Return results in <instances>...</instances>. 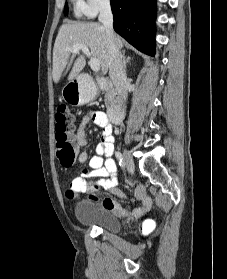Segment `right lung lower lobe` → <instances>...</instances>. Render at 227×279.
<instances>
[{
  "label": "right lung lower lobe",
  "instance_id": "obj_1",
  "mask_svg": "<svg viewBox=\"0 0 227 279\" xmlns=\"http://www.w3.org/2000/svg\"><path fill=\"white\" fill-rule=\"evenodd\" d=\"M155 0H111L114 30L143 53L155 54Z\"/></svg>",
  "mask_w": 227,
  "mask_h": 279
}]
</instances>
